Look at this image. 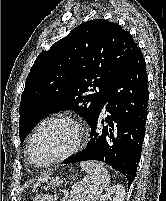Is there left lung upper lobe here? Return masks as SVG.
I'll return each instance as SVG.
<instances>
[{
  "label": "left lung upper lobe",
  "mask_w": 166,
  "mask_h": 201,
  "mask_svg": "<svg viewBox=\"0 0 166 201\" xmlns=\"http://www.w3.org/2000/svg\"><path fill=\"white\" fill-rule=\"evenodd\" d=\"M137 47L120 25L96 19L80 24L42 51L21 96V142L38 121L55 112L73 110L89 123Z\"/></svg>",
  "instance_id": "1"
}]
</instances>
